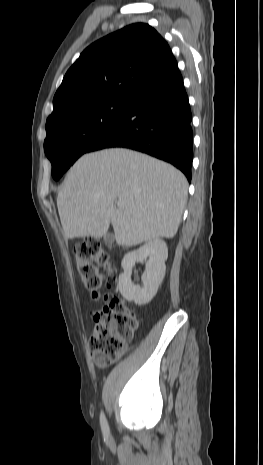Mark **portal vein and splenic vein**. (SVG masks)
<instances>
[{
	"mask_svg": "<svg viewBox=\"0 0 263 465\" xmlns=\"http://www.w3.org/2000/svg\"><path fill=\"white\" fill-rule=\"evenodd\" d=\"M117 205H118V207H122V203H121V202H118Z\"/></svg>",
	"mask_w": 263,
	"mask_h": 465,
	"instance_id": "1",
	"label": "portal vein and splenic vein"
}]
</instances>
